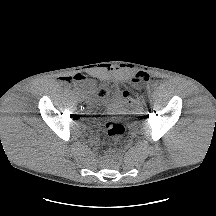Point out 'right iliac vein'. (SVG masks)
Returning a JSON list of instances; mask_svg holds the SVG:
<instances>
[{"label": "right iliac vein", "instance_id": "63e3f726", "mask_svg": "<svg viewBox=\"0 0 216 216\" xmlns=\"http://www.w3.org/2000/svg\"><path fill=\"white\" fill-rule=\"evenodd\" d=\"M75 97L78 98L79 100H81V96H80L79 93H76V94H75Z\"/></svg>", "mask_w": 216, "mask_h": 216}]
</instances>
